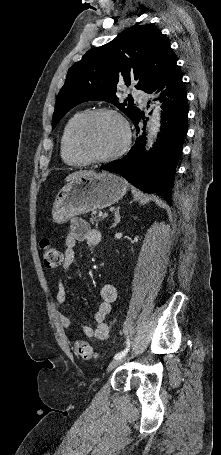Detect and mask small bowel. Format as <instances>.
Wrapping results in <instances>:
<instances>
[{
    "mask_svg": "<svg viewBox=\"0 0 221 455\" xmlns=\"http://www.w3.org/2000/svg\"><path fill=\"white\" fill-rule=\"evenodd\" d=\"M101 240L102 235L100 231L92 229L82 219H72L63 249V269L68 270L74 264L76 260V245L78 243L86 242L89 246H97L101 243ZM100 297L101 300L94 314L95 326L84 325L82 327V332L88 338L103 341L106 340L109 335L110 329L105 320L111 311L112 304L117 298L116 287L109 283L103 285L100 290ZM56 299L60 304L67 301L66 288L62 282L58 284ZM58 318L63 328L69 329L71 327V319L67 315L59 314Z\"/></svg>",
    "mask_w": 221,
    "mask_h": 455,
    "instance_id": "obj_1",
    "label": "small bowel"
}]
</instances>
